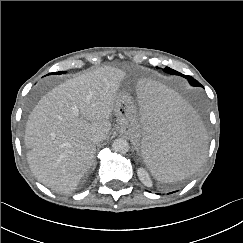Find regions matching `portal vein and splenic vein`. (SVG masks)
Segmentation results:
<instances>
[{"instance_id": "18ae733b", "label": "portal vein and splenic vein", "mask_w": 243, "mask_h": 243, "mask_svg": "<svg viewBox=\"0 0 243 243\" xmlns=\"http://www.w3.org/2000/svg\"><path fill=\"white\" fill-rule=\"evenodd\" d=\"M73 112L75 113V114H78V109L75 107V108H73Z\"/></svg>"}]
</instances>
